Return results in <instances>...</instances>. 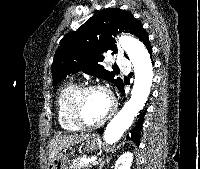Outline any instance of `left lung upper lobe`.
Masks as SVG:
<instances>
[{"instance_id":"left-lung-upper-lobe-1","label":"left lung upper lobe","mask_w":200,"mask_h":169,"mask_svg":"<svg viewBox=\"0 0 200 169\" xmlns=\"http://www.w3.org/2000/svg\"><path fill=\"white\" fill-rule=\"evenodd\" d=\"M119 32L134 34L144 44L149 40L142 23L130 12L119 8L101 10L78 30L67 33L60 41L52 63L53 84L63 80L69 73L82 71L119 87L123 83L122 79L100 64L104 52L117 53L113 36Z\"/></svg>"}]
</instances>
